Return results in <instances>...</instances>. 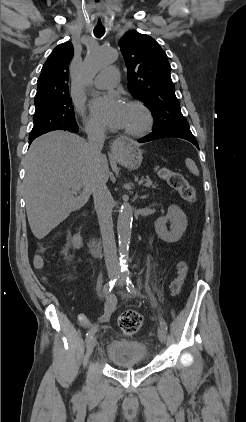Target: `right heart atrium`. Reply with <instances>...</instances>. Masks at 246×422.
I'll return each instance as SVG.
<instances>
[{
    "label": "right heart atrium",
    "mask_w": 246,
    "mask_h": 422,
    "mask_svg": "<svg viewBox=\"0 0 246 422\" xmlns=\"http://www.w3.org/2000/svg\"><path fill=\"white\" fill-rule=\"evenodd\" d=\"M79 113L82 117L84 129L89 135L100 136L104 133V129L98 123L84 116L83 112L80 111Z\"/></svg>",
    "instance_id": "1"
}]
</instances>
